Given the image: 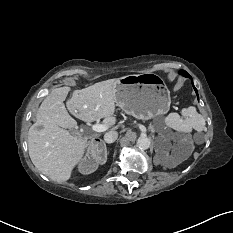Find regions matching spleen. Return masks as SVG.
Segmentation results:
<instances>
[{
	"instance_id": "3e777b00",
	"label": "spleen",
	"mask_w": 233,
	"mask_h": 233,
	"mask_svg": "<svg viewBox=\"0 0 233 233\" xmlns=\"http://www.w3.org/2000/svg\"><path fill=\"white\" fill-rule=\"evenodd\" d=\"M181 117L178 113H170L164 120L166 126L180 133L190 134L192 129L201 132L205 127L203 116L197 113L196 108L190 106L182 109Z\"/></svg>"
}]
</instances>
